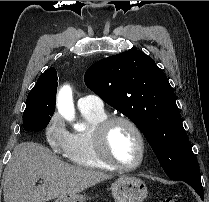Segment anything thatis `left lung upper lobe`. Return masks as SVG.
<instances>
[{
	"label": "left lung upper lobe",
	"mask_w": 209,
	"mask_h": 202,
	"mask_svg": "<svg viewBox=\"0 0 209 202\" xmlns=\"http://www.w3.org/2000/svg\"><path fill=\"white\" fill-rule=\"evenodd\" d=\"M84 80L140 129L171 179L200 175L174 91L152 58L139 50L113 55L90 66Z\"/></svg>",
	"instance_id": "obj_1"
}]
</instances>
